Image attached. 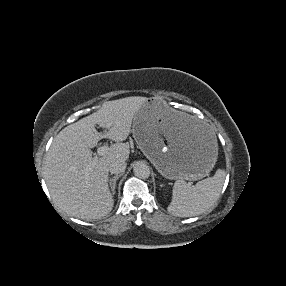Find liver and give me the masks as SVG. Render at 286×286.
Segmentation results:
<instances>
[{
	"mask_svg": "<svg viewBox=\"0 0 286 286\" xmlns=\"http://www.w3.org/2000/svg\"><path fill=\"white\" fill-rule=\"evenodd\" d=\"M145 97H127L105 102L95 113L62 129L54 138L45 159L44 177L53 202L70 216L83 220L99 219L113 208L109 190V165L115 159L128 160L130 146L124 142L131 133L135 114ZM188 131L191 116L178 113ZM105 128L99 133L95 126ZM113 141L107 154L92 157L100 139Z\"/></svg>",
	"mask_w": 286,
	"mask_h": 286,
	"instance_id": "liver-1",
	"label": "liver"
}]
</instances>
